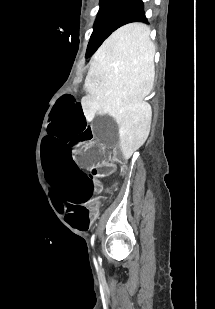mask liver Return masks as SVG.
Masks as SVG:
<instances>
[{"mask_svg":"<svg viewBox=\"0 0 215 309\" xmlns=\"http://www.w3.org/2000/svg\"><path fill=\"white\" fill-rule=\"evenodd\" d=\"M150 28L130 22L114 30L92 56L81 100L86 116L110 114L119 126L125 159L144 144L151 126L152 110L144 98L155 76V44Z\"/></svg>","mask_w":215,"mask_h":309,"instance_id":"obj_1","label":"liver"}]
</instances>
